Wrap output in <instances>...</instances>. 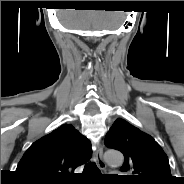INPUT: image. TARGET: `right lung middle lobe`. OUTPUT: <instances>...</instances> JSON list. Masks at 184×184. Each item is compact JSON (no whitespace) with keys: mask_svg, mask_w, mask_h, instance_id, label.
I'll use <instances>...</instances> for the list:
<instances>
[{"mask_svg":"<svg viewBox=\"0 0 184 184\" xmlns=\"http://www.w3.org/2000/svg\"><path fill=\"white\" fill-rule=\"evenodd\" d=\"M32 183H34V184H46V183H37V182H32Z\"/></svg>","mask_w":184,"mask_h":184,"instance_id":"right-lung-middle-lobe-1","label":"right lung middle lobe"}]
</instances>
